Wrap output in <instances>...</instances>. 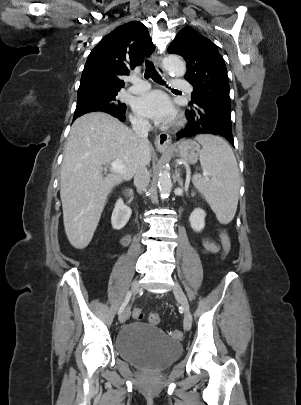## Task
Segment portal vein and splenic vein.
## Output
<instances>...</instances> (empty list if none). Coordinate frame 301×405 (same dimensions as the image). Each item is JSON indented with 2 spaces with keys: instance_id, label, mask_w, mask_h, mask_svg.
Listing matches in <instances>:
<instances>
[{
  "instance_id": "portal-vein-and-splenic-vein-1",
  "label": "portal vein and splenic vein",
  "mask_w": 301,
  "mask_h": 405,
  "mask_svg": "<svg viewBox=\"0 0 301 405\" xmlns=\"http://www.w3.org/2000/svg\"><path fill=\"white\" fill-rule=\"evenodd\" d=\"M110 165H111V169L114 172H117L119 174H124L125 167H124L123 163L121 162V160L115 159L110 163ZM188 180H189V177H188Z\"/></svg>"
}]
</instances>
